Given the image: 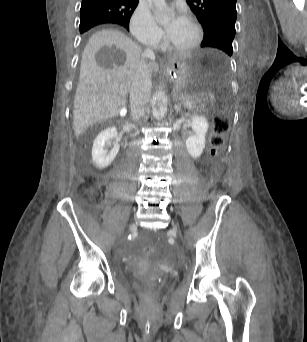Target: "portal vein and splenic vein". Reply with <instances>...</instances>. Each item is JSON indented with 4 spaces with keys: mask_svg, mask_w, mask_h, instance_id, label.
<instances>
[{
    "mask_svg": "<svg viewBox=\"0 0 307 342\" xmlns=\"http://www.w3.org/2000/svg\"><path fill=\"white\" fill-rule=\"evenodd\" d=\"M185 107L188 108V109L192 108V106L190 104L186 105Z\"/></svg>",
    "mask_w": 307,
    "mask_h": 342,
    "instance_id": "portal-vein-and-splenic-vein-1",
    "label": "portal vein and splenic vein"
}]
</instances>
